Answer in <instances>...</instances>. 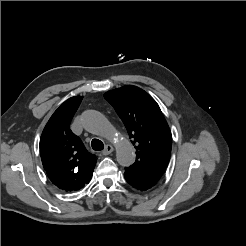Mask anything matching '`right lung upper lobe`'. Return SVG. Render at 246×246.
I'll use <instances>...</instances> for the list:
<instances>
[{"label": "right lung upper lobe", "mask_w": 246, "mask_h": 246, "mask_svg": "<svg viewBox=\"0 0 246 246\" xmlns=\"http://www.w3.org/2000/svg\"><path fill=\"white\" fill-rule=\"evenodd\" d=\"M82 96L66 100L51 116L40 138V155L50 181L70 192L89 183L96 156L89 153L81 139L70 129Z\"/></svg>", "instance_id": "1"}]
</instances>
